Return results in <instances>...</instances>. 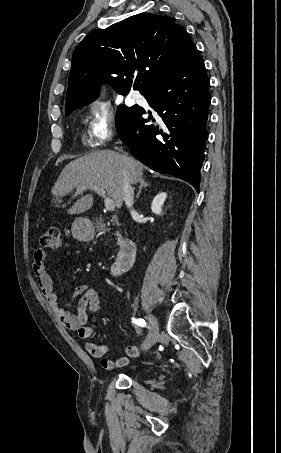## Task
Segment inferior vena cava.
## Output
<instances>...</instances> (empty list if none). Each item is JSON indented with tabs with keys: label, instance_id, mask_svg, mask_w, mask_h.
<instances>
[{
	"label": "inferior vena cava",
	"instance_id": "obj_1",
	"mask_svg": "<svg viewBox=\"0 0 281 453\" xmlns=\"http://www.w3.org/2000/svg\"><path fill=\"white\" fill-rule=\"evenodd\" d=\"M123 160H126L127 156L126 154H122ZM124 182H123V188H124V194H125V204H127L128 208H132L133 206V200H134V188L131 186L126 174H124ZM132 214L136 212V210H131Z\"/></svg>",
	"mask_w": 281,
	"mask_h": 453
}]
</instances>
